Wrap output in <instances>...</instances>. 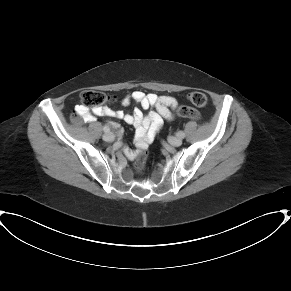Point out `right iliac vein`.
<instances>
[{
	"label": "right iliac vein",
	"instance_id": "right-iliac-vein-1",
	"mask_svg": "<svg viewBox=\"0 0 291 291\" xmlns=\"http://www.w3.org/2000/svg\"><path fill=\"white\" fill-rule=\"evenodd\" d=\"M103 139L105 140V141H107V142H111V141H114V139H115V136H114V134L113 133H106V134H104L103 135Z\"/></svg>",
	"mask_w": 291,
	"mask_h": 291
}]
</instances>
